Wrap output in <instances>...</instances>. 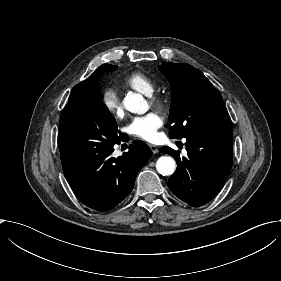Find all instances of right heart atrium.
I'll return each instance as SVG.
<instances>
[{
    "label": "right heart atrium",
    "instance_id": "1",
    "mask_svg": "<svg viewBox=\"0 0 281 281\" xmlns=\"http://www.w3.org/2000/svg\"><path fill=\"white\" fill-rule=\"evenodd\" d=\"M101 100L106 111L110 113L121 114L122 104L118 92L112 88L107 87L102 91Z\"/></svg>",
    "mask_w": 281,
    "mask_h": 281
}]
</instances>
